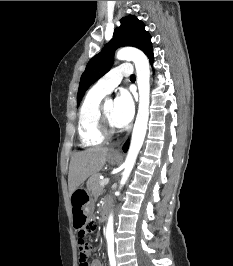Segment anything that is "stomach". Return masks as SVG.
<instances>
[{"instance_id":"0dacf381","label":"stomach","mask_w":233,"mask_h":266,"mask_svg":"<svg viewBox=\"0 0 233 266\" xmlns=\"http://www.w3.org/2000/svg\"><path fill=\"white\" fill-rule=\"evenodd\" d=\"M120 155H108V162L116 164L120 161ZM91 198L89 188H76L71 194V209L72 214V228H75V232H86V225H89L90 216L87 209H89V199Z\"/></svg>"}]
</instances>
